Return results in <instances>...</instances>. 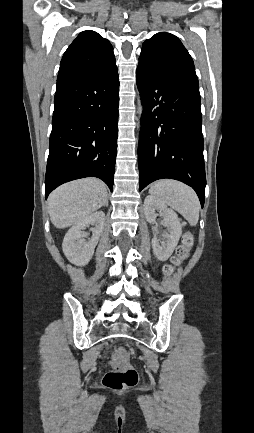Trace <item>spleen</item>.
<instances>
[{"mask_svg": "<svg viewBox=\"0 0 254 433\" xmlns=\"http://www.w3.org/2000/svg\"><path fill=\"white\" fill-rule=\"evenodd\" d=\"M149 193L179 212L191 226L199 220L200 202L192 188L171 179L155 182Z\"/></svg>", "mask_w": 254, "mask_h": 433, "instance_id": "spleen-1", "label": "spleen"}]
</instances>
